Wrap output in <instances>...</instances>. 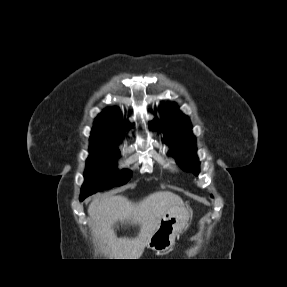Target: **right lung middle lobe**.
Listing matches in <instances>:
<instances>
[{
    "mask_svg": "<svg viewBox=\"0 0 287 287\" xmlns=\"http://www.w3.org/2000/svg\"><path fill=\"white\" fill-rule=\"evenodd\" d=\"M90 156L86 161L84 172L85 182L80 196L125 184L131 177V172L116 170V159L120 156L117 143H100L90 141Z\"/></svg>",
    "mask_w": 287,
    "mask_h": 287,
    "instance_id": "dd1d6c3e",
    "label": "right lung middle lobe"
}]
</instances>
